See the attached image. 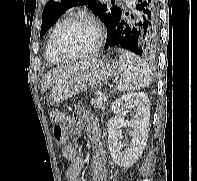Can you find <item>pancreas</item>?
Here are the masks:
<instances>
[{"label": "pancreas", "mask_w": 197, "mask_h": 181, "mask_svg": "<svg viewBox=\"0 0 197 181\" xmlns=\"http://www.w3.org/2000/svg\"><path fill=\"white\" fill-rule=\"evenodd\" d=\"M91 105L94 107V108H101L103 106V101L100 100L99 98H93L91 99Z\"/></svg>", "instance_id": "pancreas-1"}]
</instances>
